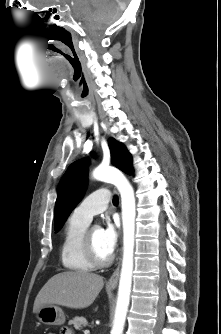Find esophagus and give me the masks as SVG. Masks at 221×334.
Here are the masks:
<instances>
[{"instance_id": "34e87169", "label": "esophagus", "mask_w": 221, "mask_h": 334, "mask_svg": "<svg viewBox=\"0 0 221 334\" xmlns=\"http://www.w3.org/2000/svg\"><path fill=\"white\" fill-rule=\"evenodd\" d=\"M120 263H121V259L119 261L117 268L115 269V271L113 272V274L111 275V277L109 278L107 282L108 287H115L117 285L118 278H119V272H120Z\"/></svg>"}]
</instances>
